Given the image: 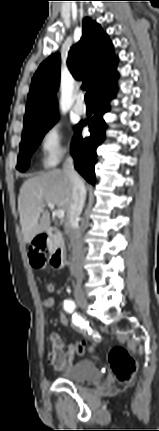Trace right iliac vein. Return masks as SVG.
<instances>
[{
  "label": "right iliac vein",
  "instance_id": "63e3f726",
  "mask_svg": "<svg viewBox=\"0 0 159 431\" xmlns=\"http://www.w3.org/2000/svg\"><path fill=\"white\" fill-rule=\"evenodd\" d=\"M75 298H76V302H77V304H78V306L80 308H82V309H86L87 308L88 301H87V298H86V296L84 295L83 292L77 291L75 293Z\"/></svg>",
  "mask_w": 159,
  "mask_h": 431
}]
</instances>
